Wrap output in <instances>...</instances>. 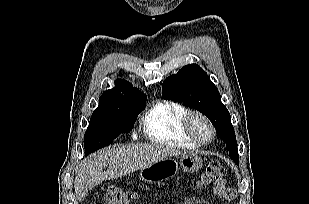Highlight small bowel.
<instances>
[{"instance_id":"c3829d8e","label":"small bowel","mask_w":309,"mask_h":204,"mask_svg":"<svg viewBox=\"0 0 309 204\" xmlns=\"http://www.w3.org/2000/svg\"><path fill=\"white\" fill-rule=\"evenodd\" d=\"M213 192L216 196L225 198L227 200H232L235 198V192L232 188L227 186L225 180H221L213 187ZM194 204H200L198 201L194 202Z\"/></svg>"}]
</instances>
